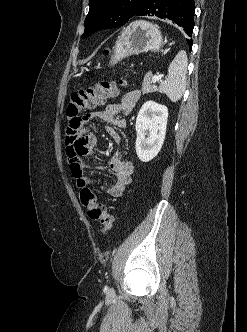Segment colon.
Segmentation results:
<instances>
[{
    "instance_id": "5ec220e1",
    "label": "colon",
    "mask_w": 247,
    "mask_h": 332,
    "mask_svg": "<svg viewBox=\"0 0 247 332\" xmlns=\"http://www.w3.org/2000/svg\"><path fill=\"white\" fill-rule=\"evenodd\" d=\"M125 84V81H121L119 84L103 81L73 92L67 105V134L73 135L84 126L86 118L84 112L87 109L102 105L107 99L117 96L119 86ZM80 198L87 208L89 218L99 222L102 233H108L113 226L114 219L106 206L97 202L95 193L89 188L81 190Z\"/></svg>"
}]
</instances>
